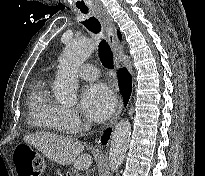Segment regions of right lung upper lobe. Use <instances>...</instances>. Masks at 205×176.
Segmentation results:
<instances>
[{"instance_id":"right-lung-upper-lobe-1","label":"right lung upper lobe","mask_w":205,"mask_h":176,"mask_svg":"<svg viewBox=\"0 0 205 176\" xmlns=\"http://www.w3.org/2000/svg\"><path fill=\"white\" fill-rule=\"evenodd\" d=\"M118 36H119V38L121 39V33H120V32H118Z\"/></svg>"}]
</instances>
